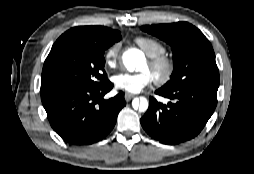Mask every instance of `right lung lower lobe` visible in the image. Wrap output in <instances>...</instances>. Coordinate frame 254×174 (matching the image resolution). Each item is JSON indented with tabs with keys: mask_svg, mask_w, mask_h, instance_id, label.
<instances>
[{
	"mask_svg": "<svg viewBox=\"0 0 254 174\" xmlns=\"http://www.w3.org/2000/svg\"><path fill=\"white\" fill-rule=\"evenodd\" d=\"M113 88L107 80L92 88H76L41 96L48 120L66 142L89 145L107 136L116 124L119 111L126 105L124 93L105 100Z\"/></svg>",
	"mask_w": 254,
	"mask_h": 174,
	"instance_id": "obj_1",
	"label": "right lung lower lobe"
}]
</instances>
